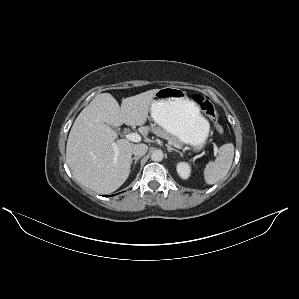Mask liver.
I'll list each match as a JSON object with an SVG mask.
<instances>
[{
  "label": "liver",
  "instance_id": "liver-1",
  "mask_svg": "<svg viewBox=\"0 0 299 299\" xmlns=\"http://www.w3.org/2000/svg\"><path fill=\"white\" fill-rule=\"evenodd\" d=\"M149 90L122 100L121 106L109 93L98 94L76 118L67 140L66 161L83 186L101 194L117 190L128 178L132 150L136 144L126 139L117 140L111 126L143 127L155 93ZM116 145L118 153H115Z\"/></svg>",
  "mask_w": 299,
  "mask_h": 299
}]
</instances>
